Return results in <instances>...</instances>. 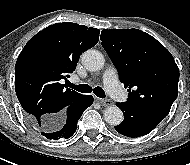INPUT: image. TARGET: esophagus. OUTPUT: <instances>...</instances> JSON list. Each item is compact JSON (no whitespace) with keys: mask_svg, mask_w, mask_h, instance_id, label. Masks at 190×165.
I'll use <instances>...</instances> for the list:
<instances>
[{"mask_svg":"<svg viewBox=\"0 0 190 165\" xmlns=\"http://www.w3.org/2000/svg\"><path fill=\"white\" fill-rule=\"evenodd\" d=\"M98 102H100L103 106H111L112 105V101L110 99H97Z\"/></svg>","mask_w":190,"mask_h":165,"instance_id":"34e87169","label":"esophagus"}]
</instances>
